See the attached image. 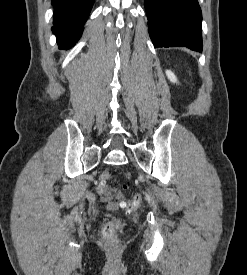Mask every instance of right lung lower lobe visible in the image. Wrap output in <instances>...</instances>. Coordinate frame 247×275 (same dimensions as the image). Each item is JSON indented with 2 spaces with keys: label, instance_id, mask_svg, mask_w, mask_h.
<instances>
[{
  "label": "right lung lower lobe",
  "instance_id": "98d812e1",
  "mask_svg": "<svg viewBox=\"0 0 247 275\" xmlns=\"http://www.w3.org/2000/svg\"><path fill=\"white\" fill-rule=\"evenodd\" d=\"M95 0H52L54 6L53 33L59 48H70L79 40L83 25Z\"/></svg>",
  "mask_w": 247,
  "mask_h": 275
}]
</instances>
